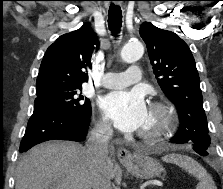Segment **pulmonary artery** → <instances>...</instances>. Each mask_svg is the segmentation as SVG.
<instances>
[{"instance_id":"obj_1","label":"pulmonary artery","mask_w":223,"mask_h":189,"mask_svg":"<svg viewBox=\"0 0 223 189\" xmlns=\"http://www.w3.org/2000/svg\"><path fill=\"white\" fill-rule=\"evenodd\" d=\"M141 80L142 70L138 66H132L123 73H105L100 84L105 88H123Z\"/></svg>"}]
</instances>
